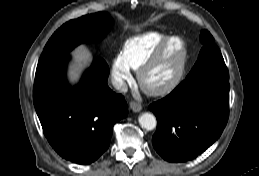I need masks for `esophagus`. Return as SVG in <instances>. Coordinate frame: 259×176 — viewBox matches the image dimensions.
I'll return each mask as SVG.
<instances>
[{"instance_id":"1","label":"esophagus","mask_w":259,"mask_h":176,"mask_svg":"<svg viewBox=\"0 0 259 176\" xmlns=\"http://www.w3.org/2000/svg\"><path fill=\"white\" fill-rule=\"evenodd\" d=\"M130 108L134 112H140L141 109H142L141 105L139 103L135 102V101L130 102Z\"/></svg>"}]
</instances>
